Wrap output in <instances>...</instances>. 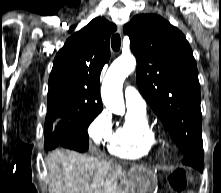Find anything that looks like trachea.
I'll return each mask as SVG.
<instances>
[{
  "label": "trachea",
  "mask_w": 221,
  "mask_h": 193,
  "mask_svg": "<svg viewBox=\"0 0 221 193\" xmlns=\"http://www.w3.org/2000/svg\"><path fill=\"white\" fill-rule=\"evenodd\" d=\"M111 46L114 51H118L120 49L121 39L119 34L113 35V37L111 38Z\"/></svg>",
  "instance_id": "1"
}]
</instances>
